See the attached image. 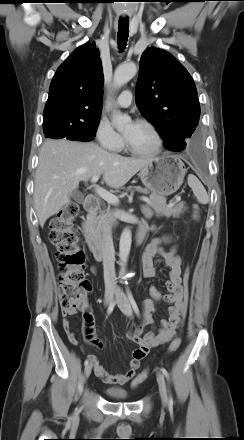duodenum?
<instances>
[{
	"label": "duodenum",
	"instance_id": "410a0bca",
	"mask_svg": "<svg viewBox=\"0 0 244 440\" xmlns=\"http://www.w3.org/2000/svg\"><path fill=\"white\" fill-rule=\"evenodd\" d=\"M100 206L99 198L94 195H90L86 198L84 202V208L86 210V215L83 217L81 222V231L86 240V243L94 256V258L98 261L103 260L104 258V249L103 245L99 241L98 237L95 235L92 228V220L93 215L98 210ZM146 235V226H141L135 237V241L137 244H141Z\"/></svg>",
	"mask_w": 244,
	"mask_h": 440
}]
</instances>
